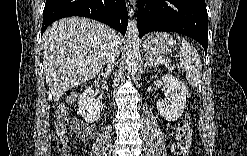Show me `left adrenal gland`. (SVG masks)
<instances>
[{
  "label": "left adrenal gland",
  "instance_id": "1",
  "mask_svg": "<svg viewBox=\"0 0 247 156\" xmlns=\"http://www.w3.org/2000/svg\"><path fill=\"white\" fill-rule=\"evenodd\" d=\"M144 60H145V67L153 65L152 63L149 62V59L147 56H145Z\"/></svg>",
  "mask_w": 247,
  "mask_h": 156
}]
</instances>
